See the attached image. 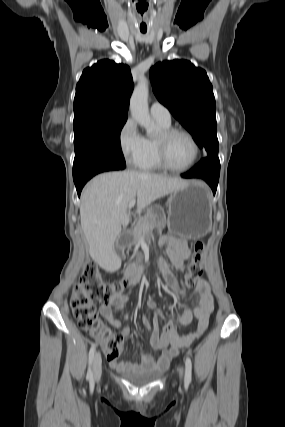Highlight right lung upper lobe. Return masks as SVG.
<instances>
[{"mask_svg":"<svg viewBox=\"0 0 285 427\" xmlns=\"http://www.w3.org/2000/svg\"><path fill=\"white\" fill-rule=\"evenodd\" d=\"M130 68L101 60L86 68L76 86L74 118L100 116L127 118L133 90Z\"/></svg>","mask_w":285,"mask_h":427,"instance_id":"obj_1","label":"right lung upper lobe"}]
</instances>
